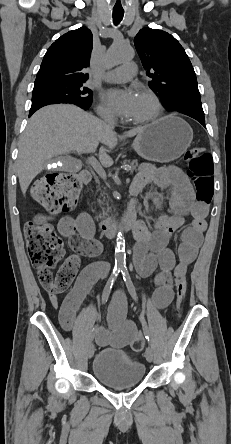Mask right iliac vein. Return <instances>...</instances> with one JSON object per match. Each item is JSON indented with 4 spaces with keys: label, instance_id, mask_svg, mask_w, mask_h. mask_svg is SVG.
Listing matches in <instances>:
<instances>
[{
    "label": "right iliac vein",
    "instance_id": "1",
    "mask_svg": "<svg viewBox=\"0 0 231 444\" xmlns=\"http://www.w3.org/2000/svg\"><path fill=\"white\" fill-rule=\"evenodd\" d=\"M95 352V347L93 344H90L89 348H88V357L92 358Z\"/></svg>",
    "mask_w": 231,
    "mask_h": 444
}]
</instances>
